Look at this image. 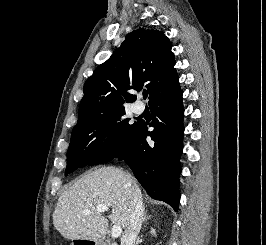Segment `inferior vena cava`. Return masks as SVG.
<instances>
[{
  "label": "inferior vena cava",
  "instance_id": "602c4592",
  "mask_svg": "<svg viewBox=\"0 0 266 245\" xmlns=\"http://www.w3.org/2000/svg\"><path fill=\"white\" fill-rule=\"evenodd\" d=\"M130 191V219L127 229L121 237V245H134L135 239L140 233L141 223L144 217V205L139 187H129Z\"/></svg>",
  "mask_w": 266,
  "mask_h": 245
}]
</instances>
